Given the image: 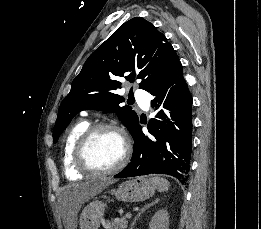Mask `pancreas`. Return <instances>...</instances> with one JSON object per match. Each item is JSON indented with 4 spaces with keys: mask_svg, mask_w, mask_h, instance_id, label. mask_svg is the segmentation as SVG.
<instances>
[{
    "mask_svg": "<svg viewBox=\"0 0 261 229\" xmlns=\"http://www.w3.org/2000/svg\"><path fill=\"white\" fill-rule=\"evenodd\" d=\"M109 229H127L128 221L127 217H122L119 221H113V223H106Z\"/></svg>",
    "mask_w": 261,
    "mask_h": 229,
    "instance_id": "pancreas-1",
    "label": "pancreas"
}]
</instances>
